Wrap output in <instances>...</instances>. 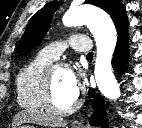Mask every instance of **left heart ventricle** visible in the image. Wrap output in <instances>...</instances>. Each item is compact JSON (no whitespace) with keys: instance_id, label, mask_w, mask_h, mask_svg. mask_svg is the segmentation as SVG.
<instances>
[{"instance_id":"left-heart-ventricle-1","label":"left heart ventricle","mask_w":142,"mask_h":128,"mask_svg":"<svg viewBox=\"0 0 142 128\" xmlns=\"http://www.w3.org/2000/svg\"><path fill=\"white\" fill-rule=\"evenodd\" d=\"M66 69L57 68L53 72L52 91L53 99L59 108L69 107L76 99L78 93L66 80Z\"/></svg>"}]
</instances>
